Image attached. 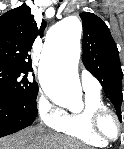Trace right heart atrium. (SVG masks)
I'll return each mask as SVG.
<instances>
[{"instance_id": "obj_1", "label": "right heart atrium", "mask_w": 124, "mask_h": 149, "mask_svg": "<svg viewBox=\"0 0 124 149\" xmlns=\"http://www.w3.org/2000/svg\"><path fill=\"white\" fill-rule=\"evenodd\" d=\"M37 114L40 121L48 128L56 130L65 115V111L54 104L46 95L42 94L37 99Z\"/></svg>"}]
</instances>
